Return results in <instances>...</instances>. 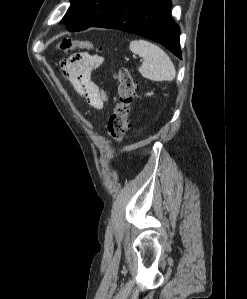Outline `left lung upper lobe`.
I'll use <instances>...</instances> for the list:
<instances>
[{"label":"left lung upper lobe","mask_w":247,"mask_h":299,"mask_svg":"<svg viewBox=\"0 0 247 299\" xmlns=\"http://www.w3.org/2000/svg\"><path fill=\"white\" fill-rule=\"evenodd\" d=\"M71 6L60 21L69 31H81L115 9L123 0H70Z\"/></svg>","instance_id":"obj_1"}]
</instances>
